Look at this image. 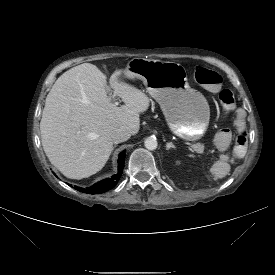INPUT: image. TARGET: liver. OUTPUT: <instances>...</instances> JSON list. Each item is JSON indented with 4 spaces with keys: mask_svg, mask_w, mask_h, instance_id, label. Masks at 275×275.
<instances>
[{
    "mask_svg": "<svg viewBox=\"0 0 275 275\" xmlns=\"http://www.w3.org/2000/svg\"><path fill=\"white\" fill-rule=\"evenodd\" d=\"M122 70L111 76L114 93L124 105L108 96L106 76L97 66L84 63L63 73L46 97L40 122L42 146L51 164L71 179L87 178L100 171L112 150V133L140 129V113L150 99L136 87L121 82Z\"/></svg>",
    "mask_w": 275,
    "mask_h": 275,
    "instance_id": "6515ba94",
    "label": "liver"
}]
</instances>
